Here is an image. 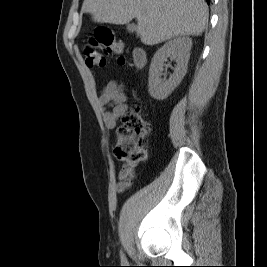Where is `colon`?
I'll return each instance as SVG.
<instances>
[{"instance_id": "5ec220e1", "label": "colon", "mask_w": 267, "mask_h": 267, "mask_svg": "<svg viewBox=\"0 0 267 267\" xmlns=\"http://www.w3.org/2000/svg\"><path fill=\"white\" fill-rule=\"evenodd\" d=\"M123 50V43L115 38L111 30L100 28L84 47L85 61L89 67H104L107 55L115 53L119 55V63L123 64ZM150 130V124L144 120L139 107L134 106L122 117V126L118 130V139L114 147L115 157L127 167L134 169L145 158L147 135Z\"/></svg>"}]
</instances>
